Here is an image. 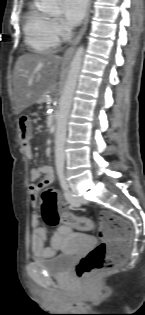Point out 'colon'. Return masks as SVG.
<instances>
[{
  "label": "colon",
  "mask_w": 145,
  "mask_h": 315,
  "mask_svg": "<svg viewBox=\"0 0 145 315\" xmlns=\"http://www.w3.org/2000/svg\"><path fill=\"white\" fill-rule=\"evenodd\" d=\"M19 126L22 142L28 145L32 138L31 118L27 115L21 116ZM41 210L42 217L48 225L64 223L78 230H89L92 227L88 219L71 214L53 189L42 190ZM100 238L101 242L76 265L77 277L85 282L92 281L124 260L132 238V227L119 215L103 211L100 214Z\"/></svg>",
  "instance_id": "obj_1"
}]
</instances>
